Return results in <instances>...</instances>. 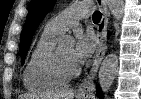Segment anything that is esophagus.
Wrapping results in <instances>:
<instances>
[{"mask_svg":"<svg viewBox=\"0 0 141 99\" xmlns=\"http://www.w3.org/2000/svg\"><path fill=\"white\" fill-rule=\"evenodd\" d=\"M96 2L102 13V17L97 28L98 46L95 52L92 67L89 74L84 78L78 89V95L84 98L92 96L94 93L95 87L93 82L107 49V28L109 22V11L105 0H96Z\"/></svg>","mask_w":141,"mask_h":99,"instance_id":"esophagus-1","label":"esophagus"}]
</instances>
